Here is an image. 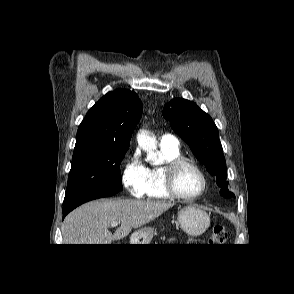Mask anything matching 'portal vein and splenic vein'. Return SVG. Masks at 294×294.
<instances>
[{"mask_svg":"<svg viewBox=\"0 0 294 294\" xmlns=\"http://www.w3.org/2000/svg\"><path fill=\"white\" fill-rule=\"evenodd\" d=\"M118 222H113V223H111V227H116V226H118Z\"/></svg>","mask_w":294,"mask_h":294,"instance_id":"18ae733b","label":"portal vein and splenic vein"}]
</instances>
